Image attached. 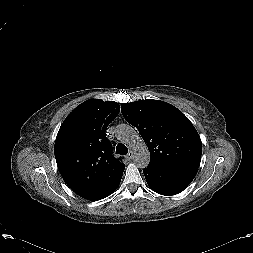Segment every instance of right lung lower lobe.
<instances>
[{"label":"right lung lower lobe","mask_w":253,"mask_h":253,"mask_svg":"<svg viewBox=\"0 0 253 253\" xmlns=\"http://www.w3.org/2000/svg\"><path fill=\"white\" fill-rule=\"evenodd\" d=\"M120 181H121V179H120L119 181H117L114 185H112L110 188H108L107 190H105V191L101 192L100 194L96 195V196H95L93 199H91V200H92V201L100 200V199H103V198L109 196V195H110L111 193H113V192L116 190V188L119 186Z\"/></svg>","instance_id":"obj_1"}]
</instances>
